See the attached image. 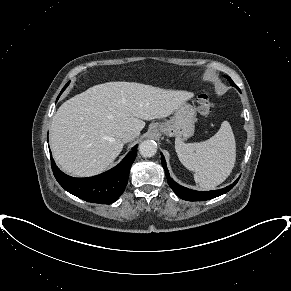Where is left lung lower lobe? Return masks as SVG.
<instances>
[{
    "instance_id": "1",
    "label": "left lung lower lobe",
    "mask_w": 291,
    "mask_h": 291,
    "mask_svg": "<svg viewBox=\"0 0 291 291\" xmlns=\"http://www.w3.org/2000/svg\"><path fill=\"white\" fill-rule=\"evenodd\" d=\"M161 162H162V166L165 170V175H166L167 182H168L169 186L176 193V195L178 197H180L183 200H187V201H205V200H210V199H213L215 197H218L222 194H225L229 190H231L239 180V179H237L233 184H231L225 188L219 189V190L195 191V190H191V189H188V188H185V187L179 185L170 177L168 169H167V165L165 162V158L162 154H161Z\"/></svg>"
}]
</instances>
